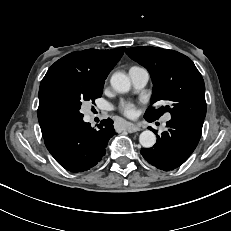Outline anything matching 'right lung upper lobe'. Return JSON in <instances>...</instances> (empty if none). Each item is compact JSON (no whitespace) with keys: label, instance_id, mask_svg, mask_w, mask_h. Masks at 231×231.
<instances>
[{"label":"right lung upper lobe","instance_id":"1","mask_svg":"<svg viewBox=\"0 0 231 231\" xmlns=\"http://www.w3.org/2000/svg\"><path fill=\"white\" fill-rule=\"evenodd\" d=\"M125 47L113 50L87 49L70 53L56 61L47 71L39 88L38 121L43 137L69 123L53 100V90L66 76L85 75L105 80L120 60Z\"/></svg>","mask_w":231,"mask_h":231}]
</instances>
